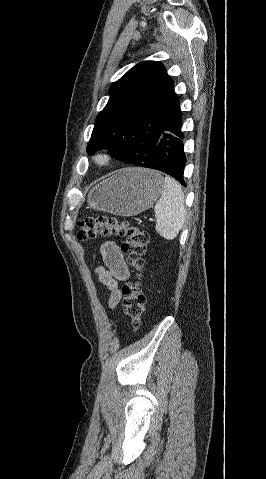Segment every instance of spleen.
Listing matches in <instances>:
<instances>
[{"instance_id":"spleen-1","label":"spleen","mask_w":266,"mask_h":479,"mask_svg":"<svg viewBox=\"0 0 266 479\" xmlns=\"http://www.w3.org/2000/svg\"><path fill=\"white\" fill-rule=\"evenodd\" d=\"M155 229L166 240H174L186 220L185 196L179 183L166 176L155 207Z\"/></svg>"}]
</instances>
